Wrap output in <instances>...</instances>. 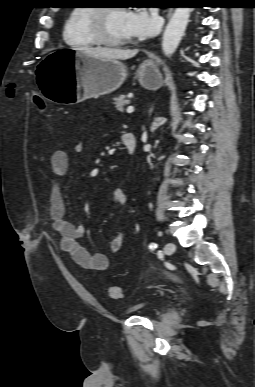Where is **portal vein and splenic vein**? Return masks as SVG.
<instances>
[{
	"instance_id": "1",
	"label": "portal vein and splenic vein",
	"mask_w": 255,
	"mask_h": 387,
	"mask_svg": "<svg viewBox=\"0 0 255 387\" xmlns=\"http://www.w3.org/2000/svg\"><path fill=\"white\" fill-rule=\"evenodd\" d=\"M132 112H134V107L133 106H129L127 108V113H132Z\"/></svg>"
}]
</instances>
